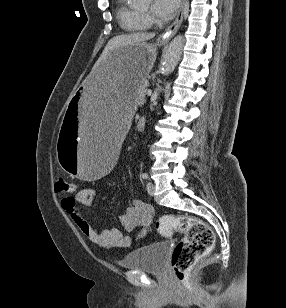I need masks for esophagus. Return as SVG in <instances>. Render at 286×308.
Returning <instances> with one entry per match:
<instances>
[{
	"label": "esophagus",
	"mask_w": 286,
	"mask_h": 308,
	"mask_svg": "<svg viewBox=\"0 0 286 308\" xmlns=\"http://www.w3.org/2000/svg\"><path fill=\"white\" fill-rule=\"evenodd\" d=\"M185 3H186V0H180V7L178 10L177 17L174 20V22L165 30V32L162 35H160L161 41L163 42L169 41L179 29L182 19H183Z\"/></svg>",
	"instance_id": "1"
}]
</instances>
